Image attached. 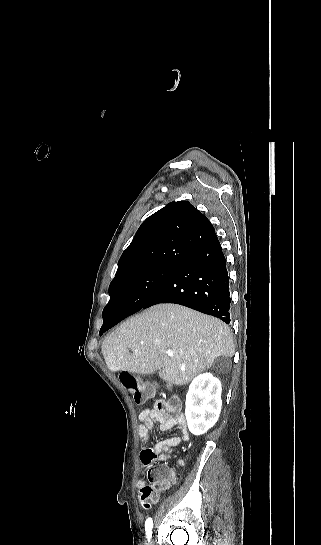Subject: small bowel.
I'll return each instance as SVG.
<instances>
[{"mask_svg":"<svg viewBox=\"0 0 321 545\" xmlns=\"http://www.w3.org/2000/svg\"><path fill=\"white\" fill-rule=\"evenodd\" d=\"M139 420L138 434L143 443L147 442L149 431L155 425H158L161 431H168L171 429L177 431L173 436L161 440L155 445L153 458H148L145 451L142 452L140 456L142 465L148 468L147 477L150 481L156 471H161L164 480L169 483L176 482L174 469L165 463L170 460L172 449L189 439L186 422L176 404L173 401L157 402L152 408L142 410L139 414ZM157 461L164 464L156 466ZM175 465L177 467H182L184 466V461L182 459H176ZM145 485L146 482L144 479H139L137 481V487L139 489Z\"/></svg>","mask_w":321,"mask_h":545,"instance_id":"c3829d8e","label":"small bowel"}]
</instances>
